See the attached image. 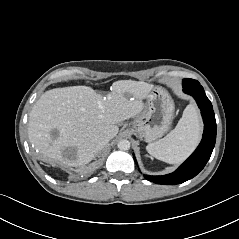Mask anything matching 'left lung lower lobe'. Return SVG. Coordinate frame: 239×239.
Masks as SVG:
<instances>
[{
    "instance_id": "left-lung-lower-lobe-1",
    "label": "left lung lower lobe",
    "mask_w": 239,
    "mask_h": 239,
    "mask_svg": "<svg viewBox=\"0 0 239 239\" xmlns=\"http://www.w3.org/2000/svg\"><path fill=\"white\" fill-rule=\"evenodd\" d=\"M183 91L194 97L204 122V133L201 143L194 153L173 173L163 176L144 175L145 179L156 184L175 185L195 177L208 162L216 141V120L210 100L200 83L184 84ZM136 162V159L134 157Z\"/></svg>"
}]
</instances>
